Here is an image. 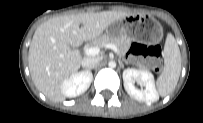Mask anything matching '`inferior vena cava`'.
I'll use <instances>...</instances> for the list:
<instances>
[{
  "instance_id": "obj_1",
  "label": "inferior vena cava",
  "mask_w": 203,
  "mask_h": 123,
  "mask_svg": "<svg viewBox=\"0 0 203 123\" xmlns=\"http://www.w3.org/2000/svg\"><path fill=\"white\" fill-rule=\"evenodd\" d=\"M99 62H100V58L98 57H92V58L86 57L82 59L81 65L83 68L90 70V69H93L95 66H97Z\"/></svg>"
}]
</instances>
